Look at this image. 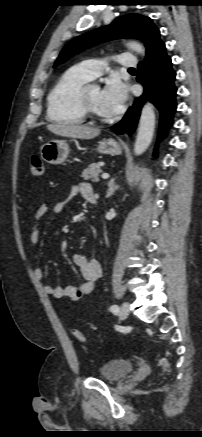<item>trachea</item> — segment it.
I'll use <instances>...</instances> for the list:
<instances>
[{
    "instance_id": "obj_1",
    "label": "trachea",
    "mask_w": 202,
    "mask_h": 437,
    "mask_svg": "<svg viewBox=\"0 0 202 437\" xmlns=\"http://www.w3.org/2000/svg\"><path fill=\"white\" fill-rule=\"evenodd\" d=\"M129 70H135L134 68H130Z\"/></svg>"
}]
</instances>
